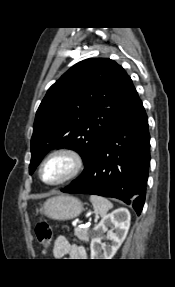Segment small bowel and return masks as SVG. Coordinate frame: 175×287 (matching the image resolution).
<instances>
[{
    "mask_svg": "<svg viewBox=\"0 0 175 287\" xmlns=\"http://www.w3.org/2000/svg\"><path fill=\"white\" fill-rule=\"evenodd\" d=\"M54 255L57 258L68 256L74 260H84L87 257L84 247L71 245L63 236L57 237L55 241Z\"/></svg>",
    "mask_w": 175,
    "mask_h": 287,
    "instance_id": "small-bowel-1",
    "label": "small bowel"
}]
</instances>
